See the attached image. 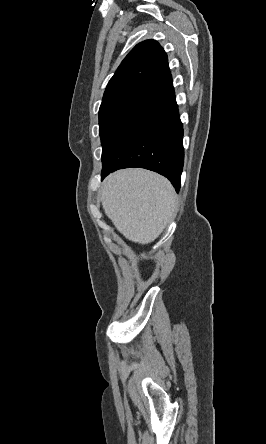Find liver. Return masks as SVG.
Returning a JSON list of instances; mask_svg holds the SVG:
<instances>
[{"label": "liver", "mask_w": 266, "mask_h": 444, "mask_svg": "<svg viewBox=\"0 0 266 444\" xmlns=\"http://www.w3.org/2000/svg\"><path fill=\"white\" fill-rule=\"evenodd\" d=\"M105 214L123 236L139 244L153 242L176 211V193L163 176L125 169L109 175L101 187Z\"/></svg>", "instance_id": "liver-1"}]
</instances>
